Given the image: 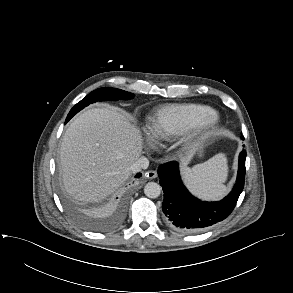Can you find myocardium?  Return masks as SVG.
<instances>
[{"label":"myocardium","mask_w":293,"mask_h":293,"mask_svg":"<svg viewBox=\"0 0 293 293\" xmlns=\"http://www.w3.org/2000/svg\"><path fill=\"white\" fill-rule=\"evenodd\" d=\"M219 116L216 112L200 118L197 123L190 129L187 140L193 141L203 139L209 136L218 126Z\"/></svg>","instance_id":"f54148a6"}]
</instances>
